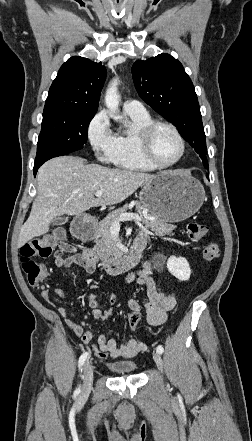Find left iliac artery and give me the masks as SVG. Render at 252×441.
Returning <instances> with one entry per match:
<instances>
[{
    "label": "left iliac artery",
    "mask_w": 252,
    "mask_h": 441,
    "mask_svg": "<svg viewBox=\"0 0 252 441\" xmlns=\"http://www.w3.org/2000/svg\"><path fill=\"white\" fill-rule=\"evenodd\" d=\"M156 352L159 353V354H162L164 352V348L161 345H159L156 348Z\"/></svg>",
    "instance_id": "1"
}]
</instances>
